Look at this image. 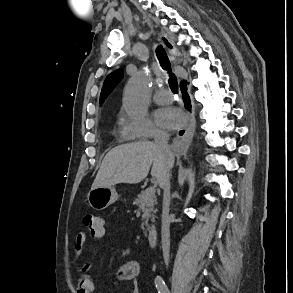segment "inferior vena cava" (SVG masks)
<instances>
[{"label": "inferior vena cava", "instance_id": "inferior-vena-cava-1", "mask_svg": "<svg viewBox=\"0 0 293 293\" xmlns=\"http://www.w3.org/2000/svg\"><path fill=\"white\" fill-rule=\"evenodd\" d=\"M169 135L164 132H159L155 135V145L169 160L173 155L168 146ZM160 187L163 189V211H162V250L165 264L168 265L169 250H170V231H169V206H170V171L168 170L163 180L160 182Z\"/></svg>", "mask_w": 293, "mask_h": 293}]
</instances>
